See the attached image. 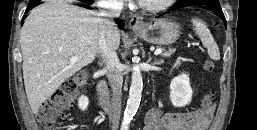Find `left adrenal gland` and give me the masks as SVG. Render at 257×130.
Wrapping results in <instances>:
<instances>
[{
  "label": "left adrenal gland",
  "instance_id": "a2214340",
  "mask_svg": "<svg viewBox=\"0 0 257 130\" xmlns=\"http://www.w3.org/2000/svg\"><path fill=\"white\" fill-rule=\"evenodd\" d=\"M149 61H151L150 55H149ZM163 63H164L163 60H156V61L154 62L155 65H161V64H163Z\"/></svg>",
  "mask_w": 257,
  "mask_h": 130
}]
</instances>
